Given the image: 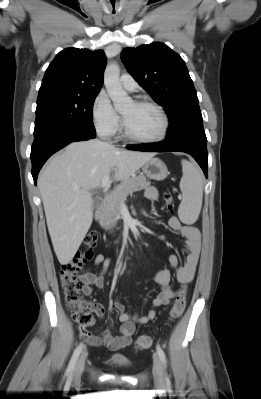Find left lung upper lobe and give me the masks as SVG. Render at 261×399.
<instances>
[{"instance_id":"5c2ea615","label":"left lung upper lobe","mask_w":261,"mask_h":399,"mask_svg":"<svg viewBox=\"0 0 261 399\" xmlns=\"http://www.w3.org/2000/svg\"><path fill=\"white\" fill-rule=\"evenodd\" d=\"M121 59L139 85L165 108L170 123L166 139L203 129L196 90L177 53L163 43L153 42L125 48Z\"/></svg>"}]
</instances>
